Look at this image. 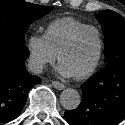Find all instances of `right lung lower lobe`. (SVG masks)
Returning <instances> with one entry per match:
<instances>
[{"instance_id": "obj_1", "label": "right lung lower lobe", "mask_w": 125, "mask_h": 125, "mask_svg": "<svg viewBox=\"0 0 125 125\" xmlns=\"http://www.w3.org/2000/svg\"><path fill=\"white\" fill-rule=\"evenodd\" d=\"M29 50L25 44L0 37V123L21 113L29 90L41 79L26 71Z\"/></svg>"}]
</instances>
